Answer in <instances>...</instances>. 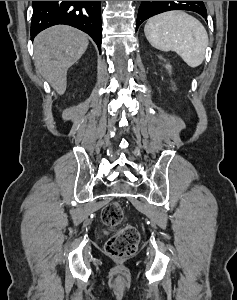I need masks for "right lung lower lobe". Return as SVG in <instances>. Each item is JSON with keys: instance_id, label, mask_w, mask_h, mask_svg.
Instances as JSON below:
<instances>
[{"instance_id": "right-lung-lower-lobe-1", "label": "right lung lower lobe", "mask_w": 237, "mask_h": 300, "mask_svg": "<svg viewBox=\"0 0 237 300\" xmlns=\"http://www.w3.org/2000/svg\"><path fill=\"white\" fill-rule=\"evenodd\" d=\"M101 1H33L31 38L57 24L76 27L89 34L101 49Z\"/></svg>"}]
</instances>
